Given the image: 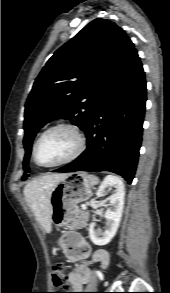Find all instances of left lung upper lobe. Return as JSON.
Segmentation results:
<instances>
[{"mask_svg":"<svg viewBox=\"0 0 170 293\" xmlns=\"http://www.w3.org/2000/svg\"><path fill=\"white\" fill-rule=\"evenodd\" d=\"M133 49L120 27L97 18L54 53L36 78L25 105V172H29L32 141L38 130L59 118L84 130ZM27 177L24 174L22 180Z\"/></svg>","mask_w":170,"mask_h":293,"instance_id":"left-lung-upper-lobe-1","label":"left lung upper lobe"}]
</instances>
